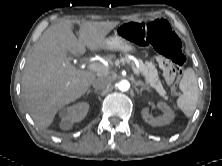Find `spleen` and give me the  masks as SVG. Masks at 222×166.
I'll list each match as a JSON object with an SVG mask.
<instances>
[{"instance_id":"spleen-1","label":"spleen","mask_w":222,"mask_h":166,"mask_svg":"<svg viewBox=\"0 0 222 166\" xmlns=\"http://www.w3.org/2000/svg\"><path fill=\"white\" fill-rule=\"evenodd\" d=\"M179 88L183 94L177 99V106L187 117H191L196 109L199 96L197 77L192 68L184 71Z\"/></svg>"}]
</instances>
